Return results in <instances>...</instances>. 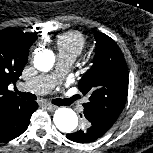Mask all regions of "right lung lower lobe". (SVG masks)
<instances>
[{"label":"right lung lower lobe","instance_id":"obj_1","mask_svg":"<svg viewBox=\"0 0 153 153\" xmlns=\"http://www.w3.org/2000/svg\"><path fill=\"white\" fill-rule=\"evenodd\" d=\"M37 108L36 102H24L12 109L0 123V141L20 136L27 129L31 115Z\"/></svg>","mask_w":153,"mask_h":153}]
</instances>
